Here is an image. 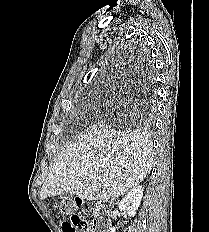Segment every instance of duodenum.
Returning <instances> with one entry per match:
<instances>
[{"label":"duodenum","instance_id":"410a0bca","mask_svg":"<svg viewBox=\"0 0 209 232\" xmlns=\"http://www.w3.org/2000/svg\"><path fill=\"white\" fill-rule=\"evenodd\" d=\"M95 223L94 228L96 232H106L109 223L107 219L106 206L103 203H98L95 207Z\"/></svg>","mask_w":209,"mask_h":232}]
</instances>
